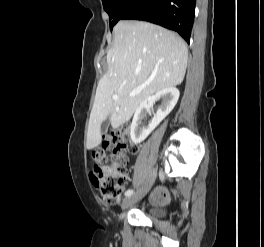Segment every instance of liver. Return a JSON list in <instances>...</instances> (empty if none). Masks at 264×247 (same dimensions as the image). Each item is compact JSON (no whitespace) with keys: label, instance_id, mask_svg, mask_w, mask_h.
<instances>
[{"label":"liver","instance_id":"obj_1","mask_svg":"<svg viewBox=\"0 0 264 247\" xmlns=\"http://www.w3.org/2000/svg\"><path fill=\"white\" fill-rule=\"evenodd\" d=\"M113 33L108 70L99 81L90 114L88 150L101 143V124L107 117L112 128H118L151 95L181 84L186 72L187 45L175 33L142 21H119ZM115 94L118 100L112 99Z\"/></svg>","mask_w":264,"mask_h":247}]
</instances>
